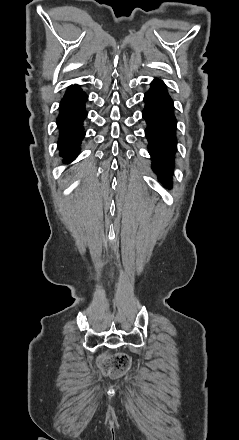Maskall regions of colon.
Masks as SVG:
<instances>
[{
  "label": "colon",
  "instance_id": "1",
  "mask_svg": "<svg viewBox=\"0 0 239 440\" xmlns=\"http://www.w3.org/2000/svg\"><path fill=\"white\" fill-rule=\"evenodd\" d=\"M101 367L105 373L119 376L130 367V358L124 353H116L103 359Z\"/></svg>",
  "mask_w": 239,
  "mask_h": 440
}]
</instances>
